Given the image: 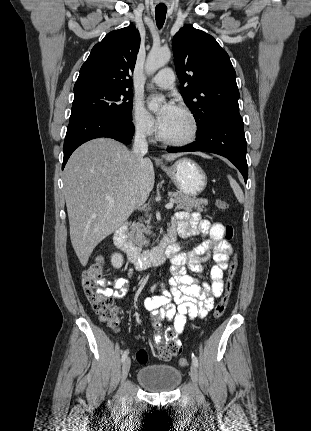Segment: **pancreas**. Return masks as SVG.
<instances>
[{
  "mask_svg": "<svg viewBox=\"0 0 311 431\" xmlns=\"http://www.w3.org/2000/svg\"><path fill=\"white\" fill-rule=\"evenodd\" d=\"M168 196L173 198L174 204H176L175 210H185V212H193V210H198V212H207L204 210L207 206V200H202V198H191V196H186V194H180V192H169ZM149 219H146V223H149ZM151 225H144V223H132L131 231L129 233V239L137 243V245H145L148 243L145 239L144 233H152L150 229Z\"/></svg>",
  "mask_w": 311,
  "mask_h": 431,
  "instance_id": "1",
  "label": "pancreas"
}]
</instances>
